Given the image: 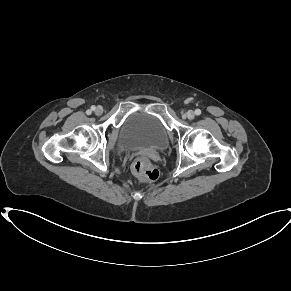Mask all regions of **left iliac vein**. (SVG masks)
<instances>
[{
  "instance_id": "1",
  "label": "left iliac vein",
  "mask_w": 291,
  "mask_h": 291,
  "mask_svg": "<svg viewBox=\"0 0 291 291\" xmlns=\"http://www.w3.org/2000/svg\"><path fill=\"white\" fill-rule=\"evenodd\" d=\"M186 117L190 120L194 119L195 117V113L192 111V110H189L187 113H186Z\"/></svg>"
}]
</instances>
